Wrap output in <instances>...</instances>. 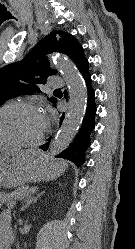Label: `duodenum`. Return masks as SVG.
<instances>
[{"label":"duodenum","mask_w":135,"mask_h":249,"mask_svg":"<svg viewBox=\"0 0 135 249\" xmlns=\"http://www.w3.org/2000/svg\"><path fill=\"white\" fill-rule=\"evenodd\" d=\"M11 239H12V237L8 238L7 242H5L3 244V249H9Z\"/></svg>","instance_id":"410a0bca"}]
</instances>
